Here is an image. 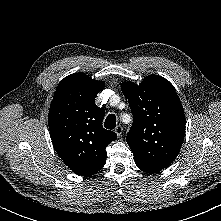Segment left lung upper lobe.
Instances as JSON below:
<instances>
[{
  "label": "left lung upper lobe",
  "instance_id": "obj_1",
  "mask_svg": "<svg viewBox=\"0 0 221 221\" xmlns=\"http://www.w3.org/2000/svg\"><path fill=\"white\" fill-rule=\"evenodd\" d=\"M133 124L127 143L140 169L168 167L180 152L185 135V114L173 85L158 75H149L140 85L124 82Z\"/></svg>",
  "mask_w": 221,
  "mask_h": 221
}]
</instances>
